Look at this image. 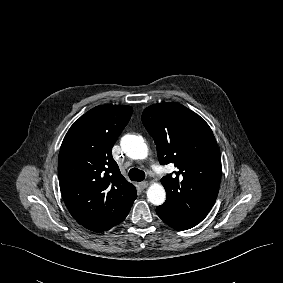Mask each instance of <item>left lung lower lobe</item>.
<instances>
[{
	"label": "left lung lower lobe",
	"mask_w": 283,
	"mask_h": 283,
	"mask_svg": "<svg viewBox=\"0 0 283 283\" xmlns=\"http://www.w3.org/2000/svg\"><path fill=\"white\" fill-rule=\"evenodd\" d=\"M156 213L166 224L177 230H187L199 223L197 221L186 220L167 212H163L158 207L156 208Z\"/></svg>",
	"instance_id": "obj_1"
}]
</instances>
